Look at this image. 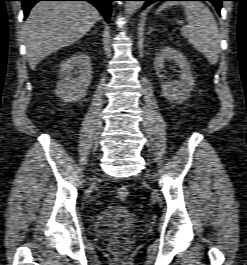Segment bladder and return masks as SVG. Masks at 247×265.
Returning <instances> with one entry per match:
<instances>
[{"mask_svg": "<svg viewBox=\"0 0 247 265\" xmlns=\"http://www.w3.org/2000/svg\"><path fill=\"white\" fill-rule=\"evenodd\" d=\"M138 221V217L132 211L120 207L105 209L96 222L95 230L102 236L120 234Z\"/></svg>", "mask_w": 247, "mask_h": 265, "instance_id": "1", "label": "bladder"}]
</instances>
